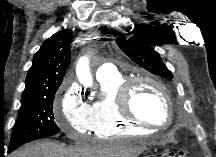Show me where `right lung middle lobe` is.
Listing matches in <instances>:
<instances>
[{
  "mask_svg": "<svg viewBox=\"0 0 216 157\" xmlns=\"http://www.w3.org/2000/svg\"><path fill=\"white\" fill-rule=\"evenodd\" d=\"M55 91L22 98L18 119L9 148L57 134L60 128L54 121Z\"/></svg>",
  "mask_w": 216,
  "mask_h": 157,
  "instance_id": "1",
  "label": "right lung middle lobe"
}]
</instances>
